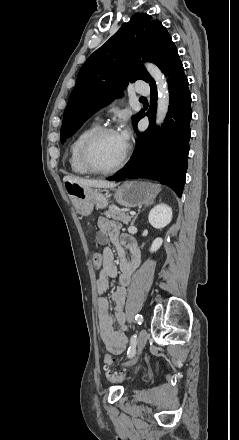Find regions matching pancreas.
<instances>
[{
    "label": "pancreas",
    "instance_id": "cf45deb5",
    "mask_svg": "<svg viewBox=\"0 0 239 440\" xmlns=\"http://www.w3.org/2000/svg\"><path fill=\"white\" fill-rule=\"evenodd\" d=\"M106 218H112V220H119V222H123V224H127L129 226V222L133 216H128L125 214V210H119L117 206H109L107 212H104Z\"/></svg>",
    "mask_w": 239,
    "mask_h": 440
}]
</instances>
